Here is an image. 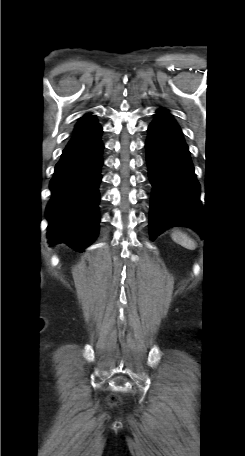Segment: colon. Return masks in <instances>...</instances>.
I'll use <instances>...</instances> for the list:
<instances>
[{"instance_id": "5ec220e1", "label": "colon", "mask_w": 245, "mask_h": 456, "mask_svg": "<svg viewBox=\"0 0 245 456\" xmlns=\"http://www.w3.org/2000/svg\"><path fill=\"white\" fill-rule=\"evenodd\" d=\"M118 401H119V397H118L117 394H111V395H109V397H108V402H109L110 404L115 405V404L118 403Z\"/></svg>"}]
</instances>
